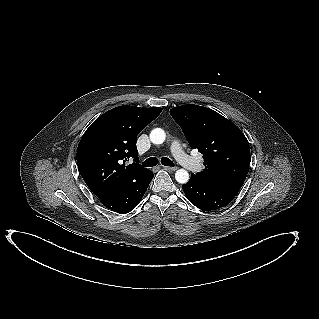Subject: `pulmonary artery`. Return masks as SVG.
I'll list each match as a JSON object with an SVG mask.
<instances>
[{
    "label": "pulmonary artery",
    "mask_w": 319,
    "mask_h": 319,
    "mask_svg": "<svg viewBox=\"0 0 319 319\" xmlns=\"http://www.w3.org/2000/svg\"><path fill=\"white\" fill-rule=\"evenodd\" d=\"M171 151L177 161L183 165L186 169L197 172L201 169V163L199 160L188 156L182 149L178 141H173L171 144Z\"/></svg>",
    "instance_id": "1"
}]
</instances>
